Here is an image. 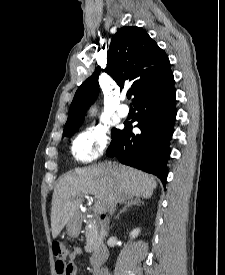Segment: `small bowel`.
I'll use <instances>...</instances> for the list:
<instances>
[{
    "mask_svg": "<svg viewBox=\"0 0 225 275\" xmlns=\"http://www.w3.org/2000/svg\"><path fill=\"white\" fill-rule=\"evenodd\" d=\"M82 249L80 247H75L69 255L68 267L70 271L66 275H77V265L76 260L81 255Z\"/></svg>",
    "mask_w": 225,
    "mask_h": 275,
    "instance_id": "small-bowel-1",
    "label": "small bowel"
}]
</instances>
